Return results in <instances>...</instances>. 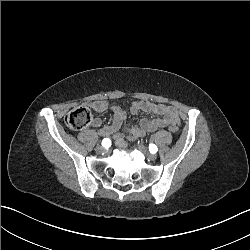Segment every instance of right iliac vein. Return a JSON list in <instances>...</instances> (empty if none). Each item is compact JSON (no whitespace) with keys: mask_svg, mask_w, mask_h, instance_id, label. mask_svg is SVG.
Wrapping results in <instances>:
<instances>
[{"mask_svg":"<svg viewBox=\"0 0 250 250\" xmlns=\"http://www.w3.org/2000/svg\"><path fill=\"white\" fill-rule=\"evenodd\" d=\"M104 151H105V148H104L103 146L98 145V146L96 147V152H97V153H103Z\"/></svg>","mask_w":250,"mask_h":250,"instance_id":"right-iliac-vein-1","label":"right iliac vein"}]
</instances>
